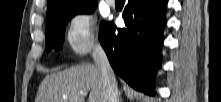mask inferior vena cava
Masks as SVG:
<instances>
[{"instance_id":"inferior-vena-cava-1","label":"inferior vena cava","mask_w":221,"mask_h":102,"mask_svg":"<svg viewBox=\"0 0 221 102\" xmlns=\"http://www.w3.org/2000/svg\"><path fill=\"white\" fill-rule=\"evenodd\" d=\"M92 57L102 75L104 86L103 102H119V91L114 72L109 64L105 51L99 43L93 46Z\"/></svg>"}]
</instances>
